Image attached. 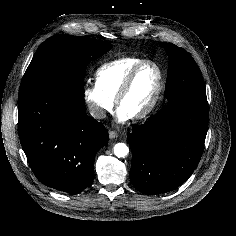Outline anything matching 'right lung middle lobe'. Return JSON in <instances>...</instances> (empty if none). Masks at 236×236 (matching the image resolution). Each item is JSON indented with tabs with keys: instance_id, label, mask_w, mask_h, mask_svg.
Returning <instances> with one entry per match:
<instances>
[{
	"instance_id": "right-lung-middle-lobe-1",
	"label": "right lung middle lobe",
	"mask_w": 236,
	"mask_h": 236,
	"mask_svg": "<svg viewBox=\"0 0 236 236\" xmlns=\"http://www.w3.org/2000/svg\"><path fill=\"white\" fill-rule=\"evenodd\" d=\"M111 48L108 42L81 36L48 38L29 64L19 95L38 88H65L82 95L86 66Z\"/></svg>"
}]
</instances>
